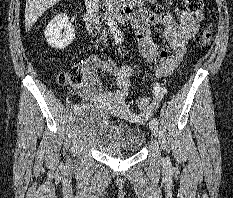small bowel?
<instances>
[{"instance_id":"c3829d8e","label":"small bowel","mask_w":233,"mask_h":198,"mask_svg":"<svg viewBox=\"0 0 233 198\" xmlns=\"http://www.w3.org/2000/svg\"><path fill=\"white\" fill-rule=\"evenodd\" d=\"M164 26V35L168 47L159 48L151 38L152 26ZM133 27L142 57L149 63L156 64L154 78L170 76L179 66L188 41L199 29V20L186 9L173 14L170 11L154 12L141 7L136 12ZM102 69L112 76L116 90L108 89L98 78V70ZM85 80L75 87V93L84 101L99 104L113 109L122 117L133 121H141L144 116L130 112L125 99L129 94L132 82L130 77L135 71L130 66L118 68L112 61L97 56L89 57L83 64Z\"/></svg>"}]
</instances>
